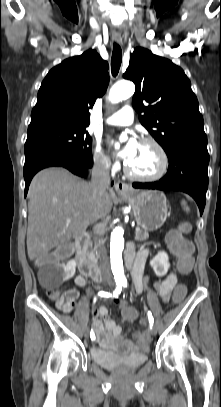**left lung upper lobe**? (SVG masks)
Masks as SVG:
<instances>
[{
	"label": "left lung upper lobe",
	"mask_w": 221,
	"mask_h": 407,
	"mask_svg": "<svg viewBox=\"0 0 221 407\" xmlns=\"http://www.w3.org/2000/svg\"><path fill=\"white\" fill-rule=\"evenodd\" d=\"M125 79L136 85L132 105L141 124L168 155L185 138H206L198 100L184 71L145 48H135Z\"/></svg>",
	"instance_id": "left-lung-upper-lobe-1"
}]
</instances>
